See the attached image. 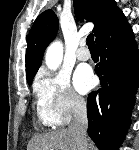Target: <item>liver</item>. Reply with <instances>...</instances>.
Instances as JSON below:
<instances>
[{
  "label": "liver",
  "instance_id": "liver-1",
  "mask_svg": "<svg viewBox=\"0 0 139 150\" xmlns=\"http://www.w3.org/2000/svg\"><path fill=\"white\" fill-rule=\"evenodd\" d=\"M27 150H76V143L69 129L34 136Z\"/></svg>",
  "mask_w": 139,
  "mask_h": 150
}]
</instances>
